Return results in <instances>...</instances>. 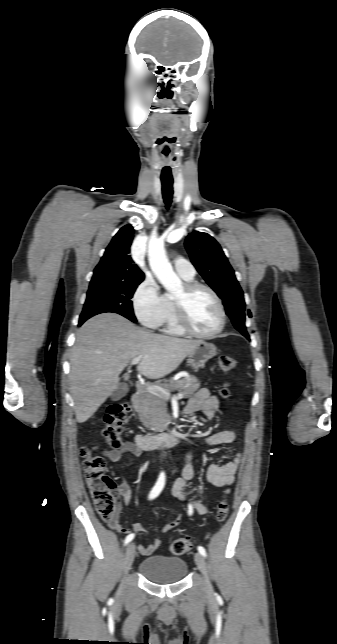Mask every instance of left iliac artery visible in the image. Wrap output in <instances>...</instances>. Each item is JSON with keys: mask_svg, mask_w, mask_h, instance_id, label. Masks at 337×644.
<instances>
[{"mask_svg": "<svg viewBox=\"0 0 337 644\" xmlns=\"http://www.w3.org/2000/svg\"><path fill=\"white\" fill-rule=\"evenodd\" d=\"M188 513H189V515H191L193 513L192 507L190 505H189ZM198 551L202 556L206 557V550H205L204 547L198 546Z\"/></svg>", "mask_w": 337, "mask_h": 644, "instance_id": "obj_1", "label": "left iliac artery"}]
</instances>
